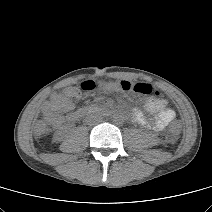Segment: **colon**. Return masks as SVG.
I'll use <instances>...</instances> for the list:
<instances>
[{"label":"colon","mask_w":212,"mask_h":212,"mask_svg":"<svg viewBox=\"0 0 212 212\" xmlns=\"http://www.w3.org/2000/svg\"><path fill=\"white\" fill-rule=\"evenodd\" d=\"M80 88L83 91H92L95 88L103 92L106 89L112 93H133L138 92L141 94H151L153 93V89L149 84L143 83V82H135L133 80H129L127 78L120 79V80H114L110 79L107 82L103 79H100L96 82V84L93 81H84L81 83ZM155 96H159L160 93L158 91L154 92ZM48 130V123L46 121H40L38 122L34 127V132L37 136L44 135ZM179 131L178 125H174L171 128L169 138L170 140H175L177 137Z\"/></svg>","instance_id":"5ec220e1"}]
</instances>
